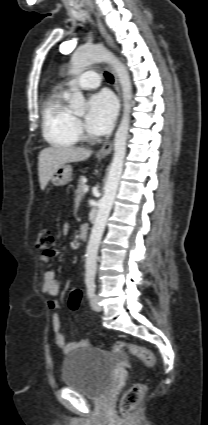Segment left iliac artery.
<instances>
[{
    "label": "left iliac artery",
    "mask_w": 208,
    "mask_h": 425,
    "mask_svg": "<svg viewBox=\"0 0 208 425\" xmlns=\"http://www.w3.org/2000/svg\"><path fill=\"white\" fill-rule=\"evenodd\" d=\"M86 286H87V295L88 297H93L94 293H95V280L93 278L87 279L86 280Z\"/></svg>",
    "instance_id": "1"
}]
</instances>
